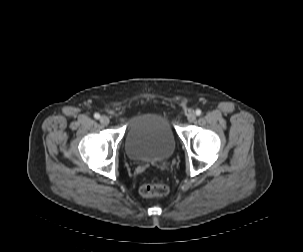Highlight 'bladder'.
<instances>
[{
  "instance_id": "1",
  "label": "bladder",
  "mask_w": 303,
  "mask_h": 252,
  "mask_svg": "<svg viewBox=\"0 0 303 252\" xmlns=\"http://www.w3.org/2000/svg\"><path fill=\"white\" fill-rule=\"evenodd\" d=\"M124 148L130 160L163 162L173 156L176 143L167 119L159 113L150 112L128 123Z\"/></svg>"
}]
</instances>
